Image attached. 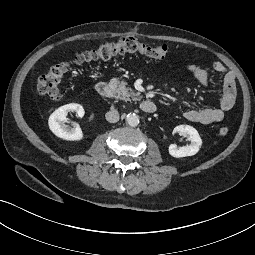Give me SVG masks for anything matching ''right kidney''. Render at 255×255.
Returning a JSON list of instances; mask_svg holds the SVG:
<instances>
[{
	"instance_id": "ca27d5eb",
	"label": "right kidney",
	"mask_w": 255,
	"mask_h": 255,
	"mask_svg": "<svg viewBox=\"0 0 255 255\" xmlns=\"http://www.w3.org/2000/svg\"><path fill=\"white\" fill-rule=\"evenodd\" d=\"M68 111H76L78 117L85 114L84 108L80 104L70 103L59 107L49 117L48 125L50 130L59 138L69 141H79L83 138V133L78 124L68 129L64 122L67 121L66 115Z\"/></svg>"
}]
</instances>
